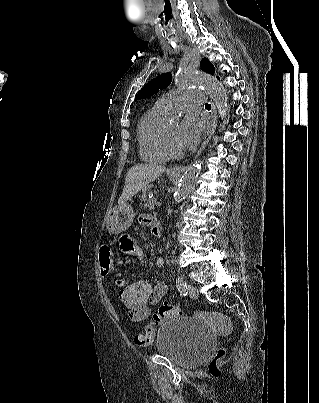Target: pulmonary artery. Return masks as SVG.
Segmentation results:
<instances>
[{
    "label": "pulmonary artery",
    "mask_w": 319,
    "mask_h": 403,
    "mask_svg": "<svg viewBox=\"0 0 319 403\" xmlns=\"http://www.w3.org/2000/svg\"><path fill=\"white\" fill-rule=\"evenodd\" d=\"M155 104L168 112L191 108L202 104V92L193 89L177 90L161 96Z\"/></svg>",
    "instance_id": "1"
}]
</instances>
